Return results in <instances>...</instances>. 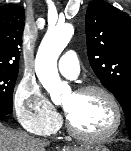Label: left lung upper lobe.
<instances>
[{
    "label": "left lung upper lobe",
    "mask_w": 131,
    "mask_h": 151,
    "mask_svg": "<svg viewBox=\"0 0 131 151\" xmlns=\"http://www.w3.org/2000/svg\"><path fill=\"white\" fill-rule=\"evenodd\" d=\"M85 28L90 65L121 104L131 135V18L109 3L93 0Z\"/></svg>",
    "instance_id": "5c2ea615"
}]
</instances>
